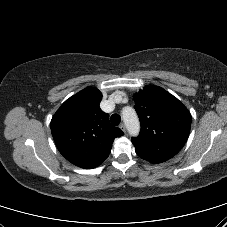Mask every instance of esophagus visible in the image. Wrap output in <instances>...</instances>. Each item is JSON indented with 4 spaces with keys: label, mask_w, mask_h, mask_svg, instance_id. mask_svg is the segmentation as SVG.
Instances as JSON below:
<instances>
[{
    "label": "esophagus",
    "mask_w": 227,
    "mask_h": 227,
    "mask_svg": "<svg viewBox=\"0 0 227 227\" xmlns=\"http://www.w3.org/2000/svg\"><path fill=\"white\" fill-rule=\"evenodd\" d=\"M119 128L125 133L126 132V126L125 124H120Z\"/></svg>",
    "instance_id": "esophagus-1"
}]
</instances>
